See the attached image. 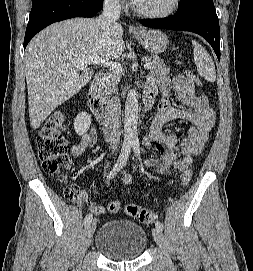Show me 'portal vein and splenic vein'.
Masks as SVG:
<instances>
[{
	"instance_id": "obj_1",
	"label": "portal vein and splenic vein",
	"mask_w": 253,
	"mask_h": 271,
	"mask_svg": "<svg viewBox=\"0 0 253 271\" xmlns=\"http://www.w3.org/2000/svg\"><path fill=\"white\" fill-rule=\"evenodd\" d=\"M88 64H95V65H101L105 67H111L112 69H115L116 71L122 72V67L120 63L103 60V59H95L91 61H77L76 66L80 69H83ZM151 67V64L148 62H145L144 69H149Z\"/></svg>"
}]
</instances>
